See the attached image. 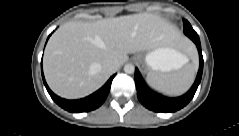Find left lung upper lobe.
<instances>
[{"mask_svg":"<svg viewBox=\"0 0 239 136\" xmlns=\"http://www.w3.org/2000/svg\"><path fill=\"white\" fill-rule=\"evenodd\" d=\"M184 22V33L186 34L188 31H194L191 27L190 23L187 20H183Z\"/></svg>","mask_w":239,"mask_h":136,"instance_id":"1","label":"left lung upper lobe"}]
</instances>
